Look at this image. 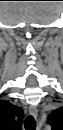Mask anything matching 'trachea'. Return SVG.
I'll list each match as a JSON object with an SVG mask.
<instances>
[{
  "label": "trachea",
  "mask_w": 63,
  "mask_h": 130,
  "mask_svg": "<svg viewBox=\"0 0 63 130\" xmlns=\"http://www.w3.org/2000/svg\"><path fill=\"white\" fill-rule=\"evenodd\" d=\"M25 130H35L36 128V121L32 115L26 117L24 121Z\"/></svg>",
  "instance_id": "obj_1"
}]
</instances>
